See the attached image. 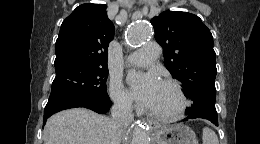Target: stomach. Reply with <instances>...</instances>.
<instances>
[{"instance_id":"obj_1","label":"stomach","mask_w":260,"mask_h":144,"mask_svg":"<svg viewBox=\"0 0 260 144\" xmlns=\"http://www.w3.org/2000/svg\"><path fill=\"white\" fill-rule=\"evenodd\" d=\"M156 144H198L195 132L184 124L153 130Z\"/></svg>"}]
</instances>
